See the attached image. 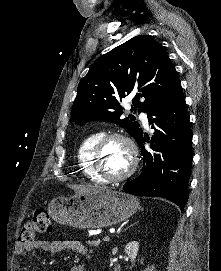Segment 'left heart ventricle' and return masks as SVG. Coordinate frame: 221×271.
<instances>
[{"instance_id": "1", "label": "left heart ventricle", "mask_w": 221, "mask_h": 271, "mask_svg": "<svg viewBox=\"0 0 221 271\" xmlns=\"http://www.w3.org/2000/svg\"><path fill=\"white\" fill-rule=\"evenodd\" d=\"M103 141H105V144L102 145L103 152H99L100 166H104L106 175L117 177L120 175L121 169H127V166H129V161H124V156H128V154L122 149V144H125V141L128 140L124 137H114Z\"/></svg>"}]
</instances>
